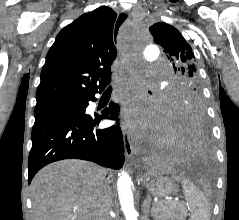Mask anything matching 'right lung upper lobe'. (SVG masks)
<instances>
[{"instance_id": "right-lung-upper-lobe-1", "label": "right lung upper lobe", "mask_w": 239, "mask_h": 220, "mask_svg": "<svg viewBox=\"0 0 239 220\" xmlns=\"http://www.w3.org/2000/svg\"><path fill=\"white\" fill-rule=\"evenodd\" d=\"M115 20L116 13L101 6L59 32L41 71L36 107L74 103L106 87L117 55Z\"/></svg>"}]
</instances>
